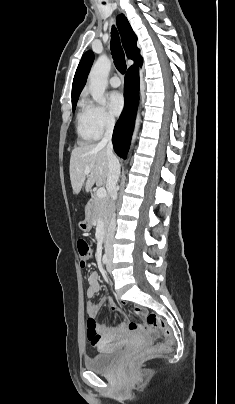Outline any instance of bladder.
Wrapping results in <instances>:
<instances>
[{"mask_svg": "<svg viewBox=\"0 0 235 404\" xmlns=\"http://www.w3.org/2000/svg\"><path fill=\"white\" fill-rule=\"evenodd\" d=\"M121 352V345L103 346L96 355L85 360V365L89 370L96 373L109 372L118 361Z\"/></svg>", "mask_w": 235, "mask_h": 404, "instance_id": "obj_1", "label": "bladder"}]
</instances>
